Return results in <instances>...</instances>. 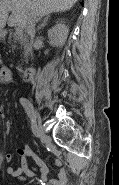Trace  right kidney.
Wrapping results in <instances>:
<instances>
[{
  "label": "right kidney",
  "instance_id": "right-kidney-1",
  "mask_svg": "<svg viewBox=\"0 0 119 185\" xmlns=\"http://www.w3.org/2000/svg\"><path fill=\"white\" fill-rule=\"evenodd\" d=\"M69 33V28L63 24L58 23L48 30L49 43L52 46L62 47L65 44Z\"/></svg>",
  "mask_w": 119,
  "mask_h": 185
}]
</instances>
